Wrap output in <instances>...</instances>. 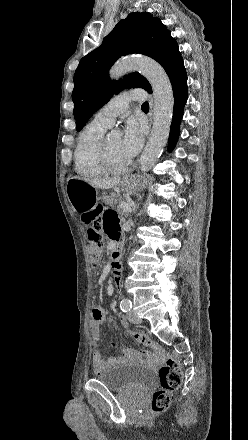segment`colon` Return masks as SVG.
<instances>
[{
    "instance_id": "5ec220e1",
    "label": "colon",
    "mask_w": 248,
    "mask_h": 440,
    "mask_svg": "<svg viewBox=\"0 0 248 440\" xmlns=\"http://www.w3.org/2000/svg\"><path fill=\"white\" fill-rule=\"evenodd\" d=\"M84 223L90 227L87 231L88 240L91 244V261L96 265L99 260V251L102 247L101 231L104 228V214L100 206L92 205L82 215ZM128 334L139 344L151 348L158 353H166L164 348L142 332L129 331ZM160 389L154 392L151 408L155 413L165 411L171 404L173 392L182 383V371L177 360L166 353L164 364L158 370Z\"/></svg>"
}]
</instances>
